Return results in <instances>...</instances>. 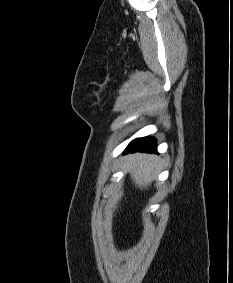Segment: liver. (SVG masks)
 Segmentation results:
<instances>
[{"instance_id":"6515ba94","label":"liver","mask_w":233,"mask_h":283,"mask_svg":"<svg viewBox=\"0 0 233 283\" xmlns=\"http://www.w3.org/2000/svg\"><path fill=\"white\" fill-rule=\"evenodd\" d=\"M160 159L156 155L136 153L128 157L126 171L130 173L135 185L147 188L156 179Z\"/></svg>"}]
</instances>
